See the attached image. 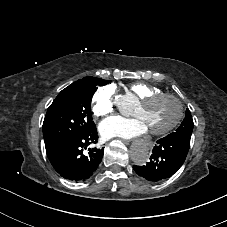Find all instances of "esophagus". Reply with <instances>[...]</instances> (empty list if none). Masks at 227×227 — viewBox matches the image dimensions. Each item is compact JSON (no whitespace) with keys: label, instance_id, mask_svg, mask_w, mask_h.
<instances>
[{"label":"esophagus","instance_id":"esophagus-1","mask_svg":"<svg viewBox=\"0 0 227 227\" xmlns=\"http://www.w3.org/2000/svg\"><path fill=\"white\" fill-rule=\"evenodd\" d=\"M142 145H143V146H147L148 149H150V150H153V149H155V147H156L155 142L152 141V139H151L150 136H149L148 140H146V141H143V140H142Z\"/></svg>","mask_w":227,"mask_h":227}]
</instances>
